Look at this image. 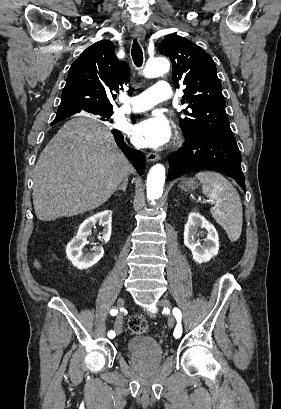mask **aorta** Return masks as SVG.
I'll use <instances>...</instances> for the list:
<instances>
[{
	"label": "aorta",
	"mask_w": 281,
	"mask_h": 409,
	"mask_svg": "<svg viewBox=\"0 0 281 409\" xmlns=\"http://www.w3.org/2000/svg\"><path fill=\"white\" fill-rule=\"evenodd\" d=\"M170 63L166 58L158 57L147 61L144 75L147 78L159 77L169 71ZM165 183V167L162 164L154 165L147 177V198L152 204L163 193Z\"/></svg>",
	"instance_id": "762f6f07"
}]
</instances>
